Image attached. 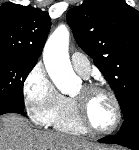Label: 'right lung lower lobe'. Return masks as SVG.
Masks as SVG:
<instances>
[{
	"label": "right lung lower lobe",
	"mask_w": 139,
	"mask_h": 150,
	"mask_svg": "<svg viewBox=\"0 0 139 150\" xmlns=\"http://www.w3.org/2000/svg\"><path fill=\"white\" fill-rule=\"evenodd\" d=\"M23 109L24 108H21L20 106L10 102H0V115L6 113H17V114L25 115Z\"/></svg>",
	"instance_id": "right-lung-lower-lobe-1"
}]
</instances>
